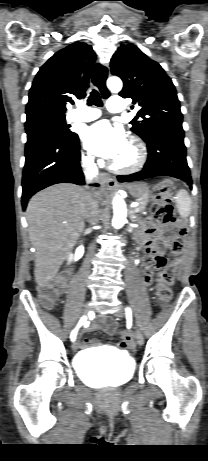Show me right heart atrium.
Returning <instances> with one entry per match:
<instances>
[{
  "label": "right heart atrium",
  "instance_id": "obj_1",
  "mask_svg": "<svg viewBox=\"0 0 208 461\" xmlns=\"http://www.w3.org/2000/svg\"><path fill=\"white\" fill-rule=\"evenodd\" d=\"M82 162L87 166H91V165H93L94 160H93V157L90 154H84L82 156Z\"/></svg>",
  "mask_w": 208,
  "mask_h": 461
}]
</instances>
